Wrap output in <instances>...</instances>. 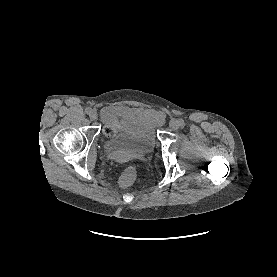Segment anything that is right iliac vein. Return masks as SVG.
<instances>
[{
	"label": "right iliac vein",
	"instance_id": "right-iliac-vein-1",
	"mask_svg": "<svg viewBox=\"0 0 277 277\" xmlns=\"http://www.w3.org/2000/svg\"><path fill=\"white\" fill-rule=\"evenodd\" d=\"M89 117L92 121L96 120L97 119V113L95 111H92L90 114H89Z\"/></svg>",
	"mask_w": 277,
	"mask_h": 277
}]
</instances>
